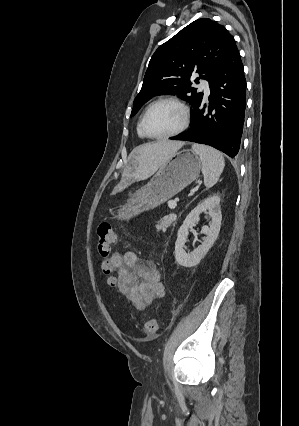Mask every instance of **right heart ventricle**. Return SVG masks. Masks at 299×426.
Segmentation results:
<instances>
[{
    "label": "right heart ventricle",
    "mask_w": 299,
    "mask_h": 426,
    "mask_svg": "<svg viewBox=\"0 0 299 426\" xmlns=\"http://www.w3.org/2000/svg\"><path fill=\"white\" fill-rule=\"evenodd\" d=\"M137 134L140 138H145L146 136L143 134L141 127H140V122L137 125Z\"/></svg>",
    "instance_id": "right-heart-ventricle-1"
}]
</instances>
